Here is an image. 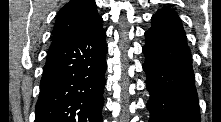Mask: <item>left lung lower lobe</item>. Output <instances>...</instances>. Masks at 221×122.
<instances>
[{
  "label": "left lung lower lobe",
  "mask_w": 221,
  "mask_h": 122,
  "mask_svg": "<svg viewBox=\"0 0 221 122\" xmlns=\"http://www.w3.org/2000/svg\"><path fill=\"white\" fill-rule=\"evenodd\" d=\"M151 20L143 47L149 122H200L192 56L181 20L167 8Z\"/></svg>",
  "instance_id": "1"
}]
</instances>
